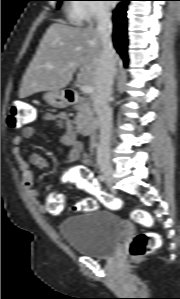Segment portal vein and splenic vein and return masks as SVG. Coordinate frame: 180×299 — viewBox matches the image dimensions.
I'll list each match as a JSON object with an SVG mask.
<instances>
[{
    "mask_svg": "<svg viewBox=\"0 0 180 299\" xmlns=\"http://www.w3.org/2000/svg\"><path fill=\"white\" fill-rule=\"evenodd\" d=\"M48 67L49 69H52V66H48ZM80 90L85 94H91L94 91L93 87L90 85H81Z\"/></svg>",
    "mask_w": 180,
    "mask_h": 299,
    "instance_id": "1",
    "label": "portal vein and splenic vein"
}]
</instances>
